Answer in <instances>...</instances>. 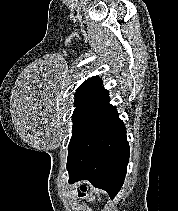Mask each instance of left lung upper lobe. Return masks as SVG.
<instances>
[{
    "label": "left lung upper lobe",
    "mask_w": 178,
    "mask_h": 211,
    "mask_svg": "<svg viewBox=\"0 0 178 211\" xmlns=\"http://www.w3.org/2000/svg\"><path fill=\"white\" fill-rule=\"evenodd\" d=\"M74 104L76 108L72 115L74 124L68 157L93 128L109 104V94L102 87L101 79L91 77L84 81L77 89Z\"/></svg>",
    "instance_id": "obj_1"
}]
</instances>
